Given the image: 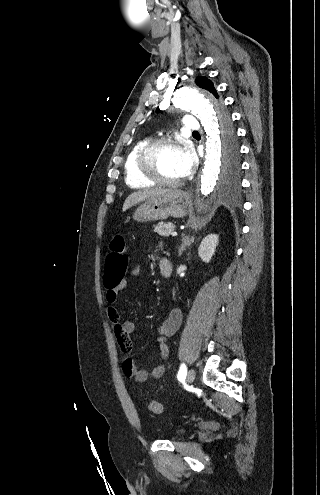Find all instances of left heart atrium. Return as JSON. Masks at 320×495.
I'll use <instances>...</instances> for the list:
<instances>
[{
	"label": "left heart atrium",
	"mask_w": 320,
	"mask_h": 495,
	"mask_svg": "<svg viewBox=\"0 0 320 495\" xmlns=\"http://www.w3.org/2000/svg\"><path fill=\"white\" fill-rule=\"evenodd\" d=\"M195 163V156L190 149H185L182 155L183 176H187Z\"/></svg>",
	"instance_id": "obj_1"
}]
</instances>
